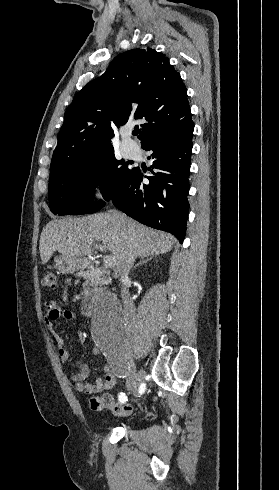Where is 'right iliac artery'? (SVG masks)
Segmentation results:
<instances>
[{"instance_id": "obj_1", "label": "right iliac artery", "mask_w": 279, "mask_h": 490, "mask_svg": "<svg viewBox=\"0 0 279 490\" xmlns=\"http://www.w3.org/2000/svg\"><path fill=\"white\" fill-rule=\"evenodd\" d=\"M111 358L112 359H115L116 358V355L115 354H112L111 355ZM119 401L120 402H126L127 401V396H125V393H122V392L120 393V395H119Z\"/></svg>"}]
</instances>
